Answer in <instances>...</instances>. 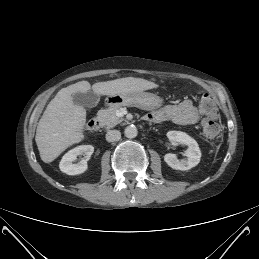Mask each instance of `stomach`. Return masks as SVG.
<instances>
[{
	"label": "stomach",
	"mask_w": 259,
	"mask_h": 259,
	"mask_svg": "<svg viewBox=\"0 0 259 259\" xmlns=\"http://www.w3.org/2000/svg\"><path fill=\"white\" fill-rule=\"evenodd\" d=\"M163 99L148 92L118 93L106 98L108 106H135L144 110H155L162 106Z\"/></svg>",
	"instance_id": "0dacf381"
}]
</instances>
